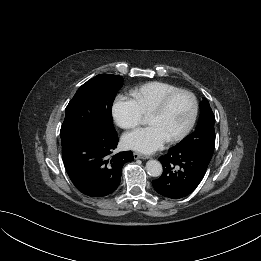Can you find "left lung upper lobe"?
<instances>
[{"label":"left lung upper lobe","instance_id":"1","mask_svg":"<svg viewBox=\"0 0 261 261\" xmlns=\"http://www.w3.org/2000/svg\"><path fill=\"white\" fill-rule=\"evenodd\" d=\"M214 123L215 117L209 102L204 98L200 103V116L195 131L178 143L176 147L199 152L211 159L215 147Z\"/></svg>","mask_w":261,"mask_h":261}]
</instances>
